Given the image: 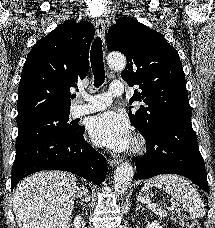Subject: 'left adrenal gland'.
<instances>
[{
  "mask_svg": "<svg viewBox=\"0 0 215 228\" xmlns=\"http://www.w3.org/2000/svg\"><path fill=\"white\" fill-rule=\"evenodd\" d=\"M137 204V210H140V208H142V206H140L139 202H136Z\"/></svg>",
  "mask_w": 215,
  "mask_h": 228,
  "instance_id": "a2214340",
  "label": "left adrenal gland"
}]
</instances>
